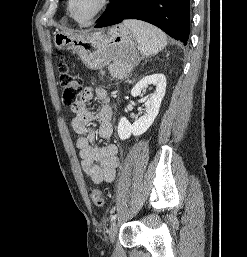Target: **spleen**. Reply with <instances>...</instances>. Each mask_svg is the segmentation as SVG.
<instances>
[{
	"label": "spleen",
	"instance_id": "spleen-1",
	"mask_svg": "<svg viewBox=\"0 0 247 257\" xmlns=\"http://www.w3.org/2000/svg\"><path fill=\"white\" fill-rule=\"evenodd\" d=\"M124 25L133 33L144 56L157 54L167 45V36L157 27L138 20H125Z\"/></svg>",
	"mask_w": 247,
	"mask_h": 257
}]
</instances>
